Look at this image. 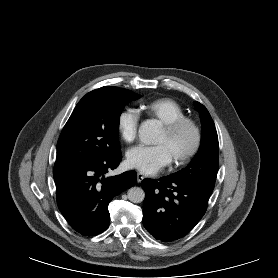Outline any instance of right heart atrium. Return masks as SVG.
Segmentation results:
<instances>
[{"mask_svg":"<svg viewBox=\"0 0 278 278\" xmlns=\"http://www.w3.org/2000/svg\"><path fill=\"white\" fill-rule=\"evenodd\" d=\"M139 114L135 109L122 110L117 118V129L121 138L126 142H132L137 134Z\"/></svg>","mask_w":278,"mask_h":278,"instance_id":"right-heart-atrium-1","label":"right heart atrium"}]
</instances>
